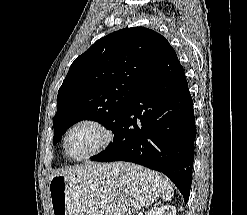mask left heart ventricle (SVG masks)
I'll use <instances>...</instances> for the list:
<instances>
[{
	"label": "left heart ventricle",
	"instance_id": "left-heart-ventricle-1",
	"mask_svg": "<svg viewBox=\"0 0 247 215\" xmlns=\"http://www.w3.org/2000/svg\"><path fill=\"white\" fill-rule=\"evenodd\" d=\"M101 139L102 135L96 128L90 125H81L69 135L67 148L71 155L81 157L93 151Z\"/></svg>",
	"mask_w": 247,
	"mask_h": 215
}]
</instances>
